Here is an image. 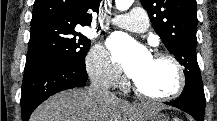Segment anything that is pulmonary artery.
<instances>
[{
  "mask_svg": "<svg viewBox=\"0 0 217 121\" xmlns=\"http://www.w3.org/2000/svg\"><path fill=\"white\" fill-rule=\"evenodd\" d=\"M111 22L121 28L134 31L144 32L149 28V19L142 8H133L127 14H119L111 19Z\"/></svg>",
  "mask_w": 217,
  "mask_h": 121,
  "instance_id": "obj_1",
  "label": "pulmonary artery"
}]
</instances>
